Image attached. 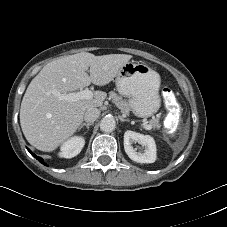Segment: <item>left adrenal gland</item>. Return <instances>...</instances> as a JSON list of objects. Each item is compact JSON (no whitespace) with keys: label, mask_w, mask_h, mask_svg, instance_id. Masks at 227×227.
Wrapping results in <instances>:
<instances>
[{"label":"left adrenal gland","mask_w":227,"mask_h":227,"mask_svg":"<svg viewBox=\"0 0 227 227\" xmlns=\"http://www.w3.org/2000/svg\"><path fill=\"white\" fill-rule=\"evenodd\" d=\"M119 119H120L121 122H129L128 119H124L122 116H119Z\"/></svg>","instance_id":"obj_1"}]
</instances>
